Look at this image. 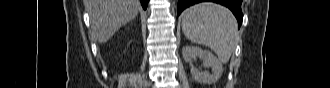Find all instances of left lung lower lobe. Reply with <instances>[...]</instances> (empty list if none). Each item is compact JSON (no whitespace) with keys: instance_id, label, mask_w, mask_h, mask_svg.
<instances>
[{"instance_id":"obj_1","label":"left lung lower lobe","mask_w":330,"mask_h":88,"mask_svg":"<svg viewBox=\"0 0 330 88\" xmlns=\"http://www.w3.org/2000/svg\"><path fill=\"white\" fill-rule=\"evenodd\" d=\"M199 2H214L228 7L235 15L238 21V27L241 26L243 20V14L241 10L242 0H178L177 17L185 8Z\"/></svg>"}]
</instances>
